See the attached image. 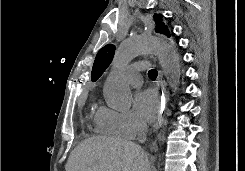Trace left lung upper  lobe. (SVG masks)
Returning <instances> with one entry per match:
<instances>
[{"label":"left lung upper lobe","instance_id":"1","mask_svg":"<svg viewBox=\"0 0 245 171\" xmlns=\"http://www.w3.org/2000/svg\"><path fill=\"white\" fill-rule=\"evenodd\" d=\"M153 18L156 24L155 32L170 37L171 34L169 28L163 22V15L154 14ZM114 54H115V45L113 44H108L98 51L91 73V80L93 82L97 81L100 78V76L103 74V72L111 63Z\"/></svg>","mask_w":245,"mask_h":171}]
</instances>
